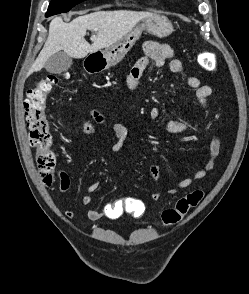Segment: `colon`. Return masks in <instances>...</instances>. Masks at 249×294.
Here are the masks:
<instances>
[{
  "mask_svg": "<svg viewBox=\"0 0 249 294\" xmlns=\"http://www.w3.org/2000/svg\"><path fill=\"white\" fill-rule=\"evenodd\" d=\"M200 66L208 71L216 70L214 57L207 52L199 54ZM59 79L49 75L36 82L34 88L28 91L26 100L27 121L30 130V144L35 149V159L38 169L46 185H51L55 178L56 155L53 151V134L46 114L47 101L50 93ZM59 173V177H61ZM202 190H194L181 197L174 207L161 212L159 224L163 227L173 226L181 222L187 213L196 207L203 199ZM146 212L145 204L135 198L117 200L112 204L111 213L115 217L127 214L135 219L142 217Z\"/></svg>",
  "mask_w": 249,
  "mask_h": 294,
  "instance_id": "1",
  "label": "colon"
}]
</instances>
